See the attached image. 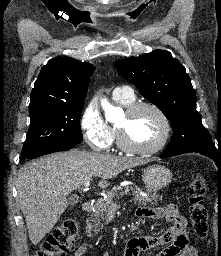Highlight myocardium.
Returning a JSON list of instances; mask_svg holds the SVG:
<instances>
[{"label": "myocardium", "mask_w": 221, "mask_h": 256, "mask_svg": "<svg viewBox=\"0 0 221 256\" xmlns=\"http://www.w3.org/2000/svg\"><path fill=\"white\" fill-rule=\"evenodd\" d=\"M142 109L152 110L154 113H156V115L161 120L162 134L159 140L150 147H146V148L136 147L127 142L122 129L117 126L116 128L117 143H118V146L126 153L141 155V156H149L161 151L168 143L171 135V122L167 114L163 111V109L160 106L149 101L134 102L130 104L129 106L126 107L125 115L128 117H131Z\"/></svg>", "instance_id": "myocardium-1"}]
</instances>
